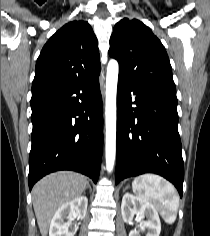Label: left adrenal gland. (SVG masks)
<instances>
[{
    "label": "left adrenal gland",
    "instance_id": "1",
    "mask_svg": "<svg viewBox=\"0 0 210 236\" xmlns=\"http://www.w3.org/2000/svg\"><path fill=\"white\" fill-rule=\"evenodd\" d=\"M128 188V186H126L125 188H123V191H125Z\"/></svg>",
    "mask_w": 210,
    "mask_h": 236
}]
</instances>
